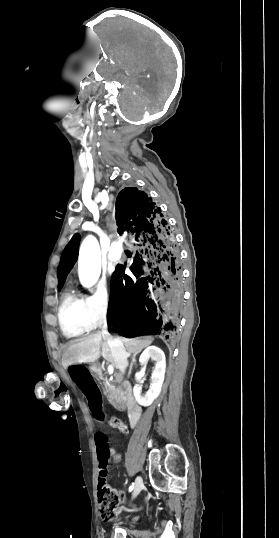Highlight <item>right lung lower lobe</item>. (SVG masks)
Returning <instances> with one entry per match:
<instances>
[{
	"label": "right lung lower lobe",
	"mask_w": 279,
	"mask_h": 538,
	"mask_svg": "<svg viewBox=\"0 0 279 538\" xmlns=\"http://www.w3.org/2000/svg\"><path fill=\"white\" fill-rule=\"evenodd\" d=\"M119 234L137 248L130 266H117L111 280L107 320L119 334L172 333L184 303L181 256L174 234L152 198L126 187L116 201Z\"/></svg>",
	"instance_id": "98d812e1"
}]
</instances>
